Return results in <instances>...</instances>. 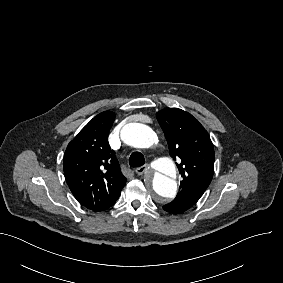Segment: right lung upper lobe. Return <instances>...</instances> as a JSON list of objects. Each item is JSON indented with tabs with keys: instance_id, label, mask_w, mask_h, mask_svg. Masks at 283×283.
<instances>
[{
	"instance_id": "obj_1",
	"label": "right lung upper lobe",
	"mask_w": 283,
	"mask_h": 283,
	"mask_svg": "<svg viewBox=\"0 0 283 283\" xmlns=\"http://www.w3.org/2000/svg\"><path fill=\"white\" fill-rule=\"evenodd\" d=\"M114 118L109 111L95 116L68 144L64 154L67 184L78 202L92 211L113 206L126 183L108 143Z\"/></svg>"
}]
</instances>
